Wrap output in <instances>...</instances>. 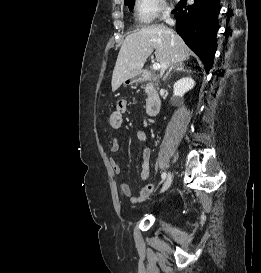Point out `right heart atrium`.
<instances>
[{"mask_svg":"<svg viewBox=\"0 0 261 273\" xmlns=\"http://www.w3.org/2000/svg\"><path fill=\"white\" fill-rule=\"evenodd\" d=\"M135 7L138 18L143 23H150L169 12L165 0H135Z\"/></svg>","mask_w":261,"mask_h":273,"instance_id":"right-heart-atrium-1","label":"right heart atrium"}]
</instances>
